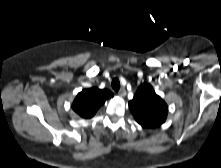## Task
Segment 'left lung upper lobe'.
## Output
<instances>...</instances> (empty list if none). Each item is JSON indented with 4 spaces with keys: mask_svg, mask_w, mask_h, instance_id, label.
<instances>
[{
    "mask_svg": "<svg viewBox=\"0 0 221 168\" xmlns=\"http://www.w3.org/2000/svg\"><path fill=\"white\" fill-rule=\"evenodd\" d=\"M129 108L136 121L145 128H155L165 122L168 106L153 87L143 83L137 89Z\"/></svg>",
    "mask_w": 221,
    "mask_h": 168,
    "instance_id": "5c2ea615",
    "label": "left lung upper lobe"
}]
</instances>
